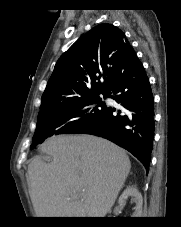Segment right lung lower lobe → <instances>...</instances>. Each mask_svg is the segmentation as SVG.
Segmentation results:
<instances>
[{
	"instance_id": "1",
	"label": "right lung lower lobe",
	"mask_w": 181,
	"mask_h": 227,
	"mask_svg": "<svg viewBox=\"0 0 181 227\" xmlns=\"http://www.w3.org/2000/svg\"><path fill=\"white\" fill-rule=\"evenodd\" d=\"M108 97L122 105L117 115L108 107L99 119L78 133L106 138L127 149L148 170L154 138V98L145 69L134 56L108 89Z\"/></svg>"
}]
</instances>
